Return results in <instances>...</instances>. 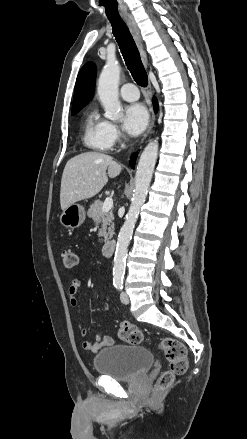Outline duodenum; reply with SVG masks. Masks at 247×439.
<instances>
[{"label": "duodenum", "instance_id": "1", "mask_svg": "<svg viewBox=\"0 0 247 439\" xmlns=\"http://www.w3.org/2000/svg\"><path fill=\"white\" fill-rule=\"evenodd\" d=\"M116 248V244L114 241H107L102 246V254L106 257H110L113 255Z\"/></svg>", "mask_w": 247, "mask_h": 439}]
</instances>
